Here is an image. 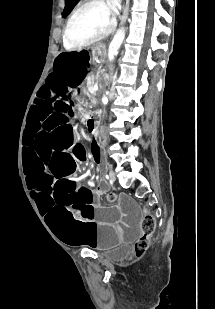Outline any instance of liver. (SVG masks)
<instances>
[{"label": "liver", "instance_id": "obj_1", "mask_svg": "<svg viewBox=\"0 0 215 309\" xmlns=\"http://www.w3.org/2000/svg\"><path fill=\"white\" fill-rule=\"evenodd\" d=\"M92 54H93V56H94V54H95V48H92Z\"/></svg>", "mask_w": 215, "mask_h": 309}]
</instances>
